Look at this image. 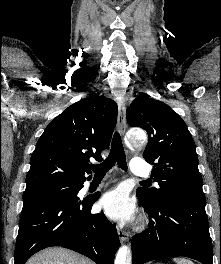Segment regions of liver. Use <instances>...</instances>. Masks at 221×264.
<instances>
[{
  "instance_id": "6515ba94",
  "label": "liver",
  "mask_w": 221,
  "mask_h": 264,
  "mask_svg": "<svg viewBox=\"0 0 221 264\" xmlns=\"http://www.w3.org/2000/svg\"><path fill=\"white\" fill-rule=\"evenodd\" d=\"M26 264H94L88 258L73 251L52 247L32 256Z\"/></svg>"
}]
</instances>
